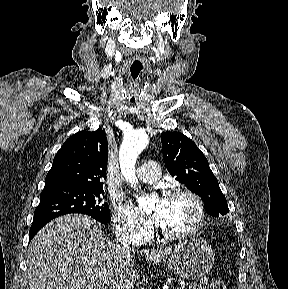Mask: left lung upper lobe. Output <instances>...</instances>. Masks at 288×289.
I'll use <instances>...</instances> for the list:
<instances>
[{
	"instance_id": "left-lung-upper-lobe-1",
	"label": "left lung upper lobe",
	"mask_w": 288,
	"mask_h": 289,
	"mask_svg": "<svg viewBox=\"0 0 288 289\" xmlns=\"http://www.w3.org/2000/svg\"><path fill=\"white\" fill-rule=\"evenodd\" d=\"M161 142L169 173L201 197L208 214L214 217L227 214L226 198L206 157L196 144L180 132L162 133Z\"/></svg>"
}]
</instances>
